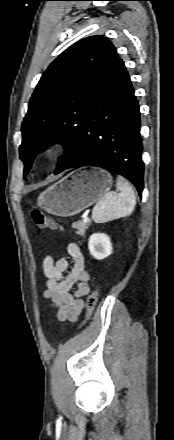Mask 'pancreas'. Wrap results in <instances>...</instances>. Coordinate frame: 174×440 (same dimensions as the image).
Instances as JSON below:
<instances>
[{
    "label": "pancreas",
    "instance_id": "pancreas-1",
    "mask_svg": "<svg viewBox=\"0 0 174 440\" xmlns=\"http://www.w3.org/2000/svg\"><path fill=\"white\" fill-rule=\"evenodd\" d=\"M90 224H91L90 220L87 221V222L78 221V222H74L72 224V227L76 229V234L77 235H80V236L84 237L85 231H86V229H88Z\"/></svg>",
    "mask_w": 174,
    "mask_h": 440
}]
</instances>
